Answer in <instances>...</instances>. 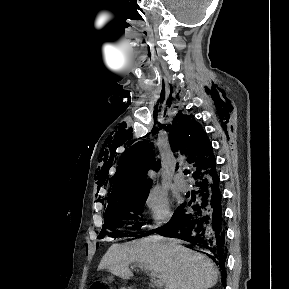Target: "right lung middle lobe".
Segmentation results:
<instances>
[{
    "instance_id": "dd1d6c3e",
    "label": "right lung middle lobe",
    "mask_w": 289,
    "mask_h": 289,
    "mask_svg": "<svg viewBox=\"0 0 289 289\" xmlns=\"http://www.w3.org/2000/svg\"><path fill=\"white\" fill-rule=\"evenodd\" d=\"M149 193H141L129 198H126L122 201L109 205L105 211V223L103 228L98 236V238H103L106 234V230H110L113 232L114 237H126V236H135L136 232H133L129 235L118 231L117 229L123 227V220H131L136 221L138 218V214L143 212L144 203L148 197ZM141 225L139 223H135L132 228L139 229Z\"/></svg>"
}]
</instances>
